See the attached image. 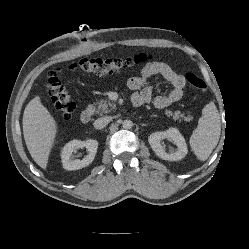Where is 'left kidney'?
Returning a JSON list of instances; mask_svg holds the SVG:
<instances>
[{
  "instance_id": "1",
  "label": "left kidney",
  "mask_w": 249,
  "mask_h": 249,
  "mask_svg": "<svg viewBox=\"0 0 249 249\" xmlns=\"http://www.w3.org/2000/svg\"><path fill=\"white\" fill-rule=\"evenodd\" d=\"M163 139L172 141L178 149L172 153L166 152L165 148L160 143ZM148 142L155 154L163 160H181L187 155L188 152L185 139L177 128H170L167 131L152 133L148 137Z\"/></svg>"
}]
</instances>
